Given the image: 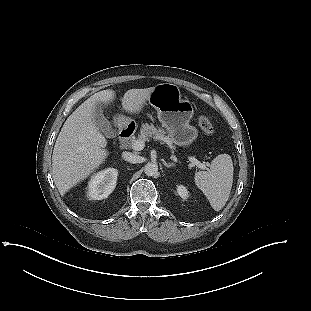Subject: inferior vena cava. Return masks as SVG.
Listing matches in <instances>:
<instances>
[{
	"instance_id": "obj_1",
	"label": "inferior vena cava",
	"mask_w": 311,
	"mask_h": 311,
	"mask_svg": "<svg viewBox=\"0 0 311 311\" xmlns=\"http://www.w3.org/2000/svg\"><path fill=\"white\" fill-rule=\"evenodd\" d=\"M129 160L133 163H140L141 162V157L137 155H130Z\"/></svg>"
}]
</instances>
